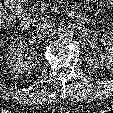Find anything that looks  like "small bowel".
Instances as JSON below:
<instances>
[{
	"label": "small bowel",
	"instance_id": "small-bowel-1",
	"mask_svg": "<svg viewBox=\"0 0 113 113\" xmlns=\"http://www.w3.org/2000/svg\"><path fill=\"white\" fill-rule=\"evenodd\" d=\"M109 3L113 7V0H109Z\"/></svg>",
	"mask_w": 113,
	"mask_h": 113
}]
</instances>
